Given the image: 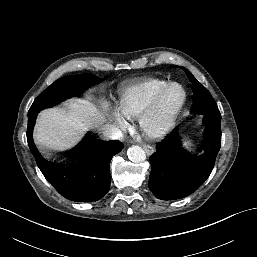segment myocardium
Wrapping results in <instances>:
<instances>
[{
    "label": "myocardium",
    "instance_id": "obj_1",
    "mask_svg": "<svg viewBox=\"0 0 257 257\" xmlns=\"http://www.w3.org/2000/svg\"><path fill=\"white\" fill-rule=\"evenodd\" d=\"M173 86L181 89L182 98L174 108L164 112L161 108L163 96ZM186 100L187 93L182 84L167 82L163 85L138 116V124L142 134L149 139H158L165 136L174 126Z\"/></svg>",
    "mask_w": 257,
    "mask_h": 257
}]
</instances>
